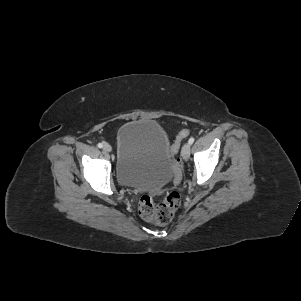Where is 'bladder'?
Listing matches in <instances>:
<instances>
[{
  "label": "bladder",
  "instance_id": "bladder-1",
  "mask_svg": "<svg viewBox=\"0 0 301 301\" xmlns=\"http://www.w3.org/2000/svg\"><path fill=\"white\" fill-rule=\"evenodd\" d=\"M172 165L169 137L157 122L135 120L120 127L115 171L121 185L161 187L169 180Z\"/></svg>",
  "mask_w": 301,
  "mask_h": 301
}]
</instances>
